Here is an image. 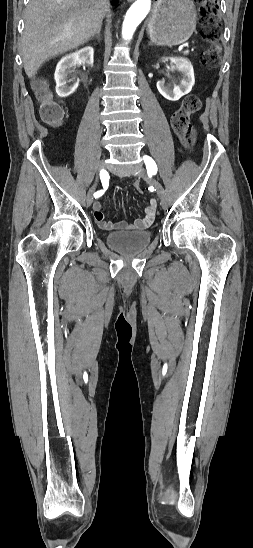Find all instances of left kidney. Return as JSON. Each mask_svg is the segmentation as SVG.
Listing matches in <instances>:
<instances>
[{
  "label": "left kidney",
  "instance_id": "1",
  "mask_svg": "<svg viewBox=\"0 0 253 548\" xmlns=\"http://www.w3.org/2000/svg\"><path fill=\"white\" fill-rule=\"evenodd\" d=\"M169 59L181 72L182 78L179 82L172 84L158 81L157 89L164 98L170 101H177L191 91L195 83L194 70L191 62L184 57H170ZM165 60H168V58H165Z\"/></svg>",
  "mask_w": 253,
  "mask_h": 548
}]
</instances>
